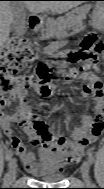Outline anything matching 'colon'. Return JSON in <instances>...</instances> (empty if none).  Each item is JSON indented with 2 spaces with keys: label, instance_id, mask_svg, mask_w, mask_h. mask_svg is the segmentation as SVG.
<instances>
[{
  "label": "colon",
  "instance_id": "colon-1",
  "mask_svg": "<svg viewBox=\"0 0 104 189\" xmlns=\"http://www.w3.org/2000/svg\"><path fill=\"white\" fill-rule=\"evenodd\" d=\"M103 48V42L97 34L90 32L82 39L81 51L73 53L70 58L74 61L88 62L98 68L99 55ZM34 58V50L27 39L19 36L9 38L2 49L0 65V92L2 96L16 95L31 87H36L42 96L51 95L53 70L47 63L38 65L33 74L23 73ZM73 74L74 71L70 70L64 73V77L69 78ZM33 128L42 139L49 138L48 127L44 121H35Z\"/></svg>",
  "mask_w": 104,
  "mask_h": 189
}]
</instances>
